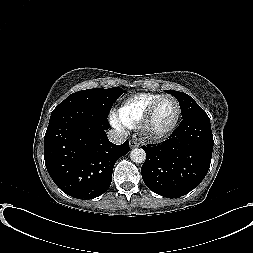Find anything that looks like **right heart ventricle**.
Here are the masks:
<instances>
[{"label": "right heart ventricle", "instance_id": "1", "mask_svg": "<svg viewBox=\"0 0 253 253\" xmlns=\"http://www.w3.org/2000/svg\"><path fill=\"white\" fill-rule=\"evenodd\" d=\"M161 96L157 93H140L123 102L116 112V119L121 126L137 128L149 106Z\"/></svg>", "mask_w": 253, "mask_h": 253}]
</instances>
